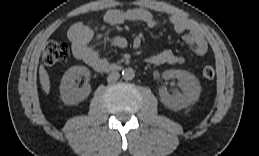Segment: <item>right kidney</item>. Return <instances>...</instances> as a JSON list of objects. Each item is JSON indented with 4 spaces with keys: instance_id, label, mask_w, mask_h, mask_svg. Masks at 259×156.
Listing matches in <instances>:
<instances>
[{
    "instance_id": "right-kidney-1",
    "label": "right kidney",
    "mask_w": 259,
    "mask_h": 156,
    "mask_svg": "<svg viewBox=\"0 0 259 156\" xmlns=\"http://www.w3.org/2000/svg\"><path fill=\"white\" fill-rule=\"evenodd\" d=\"M80 76H84L86 82L81 88H75L76 79ZM89 79L90 71L87 67L73 66L69 68L61 80L60 94L62 101L67 105H74L85 100L91 92V86L88 83Z\"/></svg>"
}]
</instances>
